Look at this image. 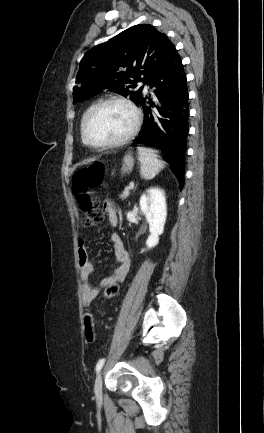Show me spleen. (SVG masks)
Instances as JSON below:
<instances>
[{"label":"spleen","instance_id":"obj_1","mask_svg":"<svg viewBox=\"0 0 264 433\" xmlns=\"http://www.w3.org/2000/svg\"><path fill=\"white\" fill-rule=\"evenodd\" d=\"M138 155L141 163L140 174L146 180L153 179L165 167V163L158 159L153 149L138 147Z\"/></svg>","mask_w":264,"mask_h":433}]
</instances>
